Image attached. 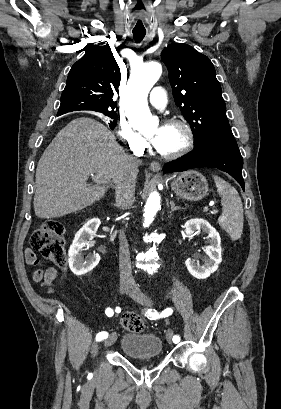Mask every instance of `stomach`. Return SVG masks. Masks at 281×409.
I'll return each mask as SVG.
<instances>
[{"mask_svg": "<svg viewBox=\"0 0 281 409\" xmlns=\"http://www.w3.org/2000/svg\"><path fill=\"white\" fill-rule=\"evenodd\" d=\"M171 188L181 196V198H187V200H201L206 194H208V180L201 172L197 170H185L181 172L179 176L173 178L171 182Z\"/></svg>", "mask_w": 281, "mask_h": 409, "instance_id": "0dacf381", "label": "stomach"}]
</instances>
